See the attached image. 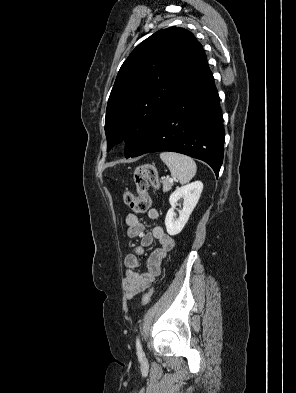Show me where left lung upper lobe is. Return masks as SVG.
Listing matches in <instances>:
<instances>
[{
	"label": "left lung upper lobe",
	"instance_id": "obj_1",
	"mask_svg": "<svg viewBox=\"0 0 296 393\" xmlns=\"http://www.w3.org/2000/svg\"><path fill=\"white\" fill-rule=\"evenodd\" d=\"M206 62L201 44L183 28L159 30L140 43L121 66L107 103V150L126 137L130 157Z\"/></svg>",
	"mask_w": 296,
	"mask_h": 393
}]
</instances>
